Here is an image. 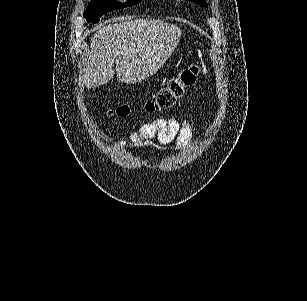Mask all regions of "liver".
Returning a JSON list of instances; mask_svg holds the SVG:
<instances>
[{
    "label": "liver",
    "mask_w": 307,
    "mask_h": 301,
    "mask_svg": "<svg viewBox=\"0 0 307 301\" xmlns=\"http://www.w3.org/2000/svg\"><path fill=\"white\" fill-rule=\"evenodd\" d=\"M107 22L112 24H105L91 36L90 48L81 60L87 88L106 84L115 70L120 82H141L163 66L181 36L179 26L164 20L113 18Z\"/></svg>",
    "instance_id": "1"
}]
</instances>
